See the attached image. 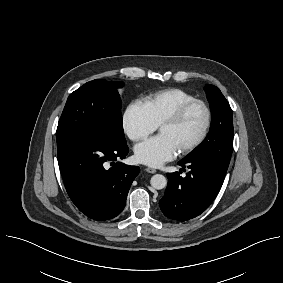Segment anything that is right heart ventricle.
I'll list each match as a JSON object with an SVG mask.
<instances>
[{
  "mask_svg": "<svg viewBox=\"0 0 283 283\" xmlns=\"http://www.w3.org/2000/svg\"><path fill=\"white\" fill-rule=\"evenodd\" d=\"M195 96L181 88H168L153 92L144 98V105L156 125L172 115L181 105Z\"/></svg>",
  "mask_w": 283,
  "mask_h": 283,
  "instance_id": "right-heart-ventricle-1",
  "label": "right heart ventricle"
}]
</instances>
